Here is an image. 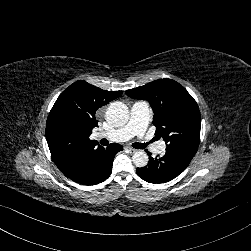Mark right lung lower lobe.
<instances>
[{
	"label": "right lung lower lobe",
	"mask_w": 251,
	"mask_h": 251,
	"mask_svg": "<svg viewBox=\"0 0 251 251\" xmlns=\"http://www.w3.org/2000/svg\"><path fill=\"white\" fill-rule=\"evenodd\" d=\"M122 150L121 145L110 144L106 149L102 148L86 156L61 172L73 181L83 185L99 184L110 176L114 156Z\"/></svg>",
	"instance_id": "obj_1"
}]
</instances>
